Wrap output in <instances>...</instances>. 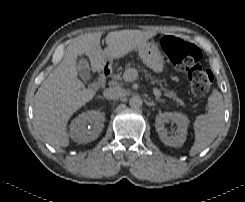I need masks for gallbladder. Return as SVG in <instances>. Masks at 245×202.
Wrapping results in <instances>:
<instances>
[{
    "mask_svg": "<svg viewBox=\"0 0 245 202\" xmlns=\"http://www.w3.org/2000/svg\"><path fill=\"white\" fill-rule=\"evenodd\" d=\"M78 75L83 79L87 80L90 78L91 67L87 59L80 58L77 65Z\"/></svg>",
    "mask_w": 245,
    "mask_h": 202,
    "instance_id": "obj_1",
    "label": "gallbladder"
}]
</instances>
